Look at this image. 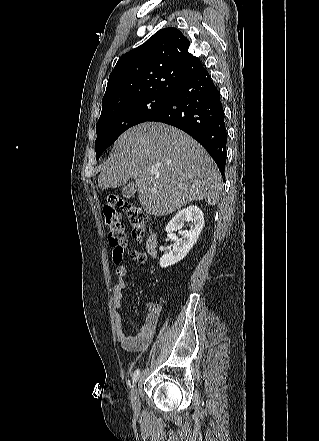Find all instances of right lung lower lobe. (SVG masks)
I'll list each match as a JSON object with an SVG mask.
<instances>
[{"label": "right lung lower lobe", "mask_w": 319, "mask_h": 441, "mask_svg": "<svg viewBox=\"0 0 319 441\" xmlns=\"http://www.w3.org/2000/svg\"><path fill=\"white\" fill-rule=\"evenodd\" d=\"M148 121L163 122L191 135L224 175L227 144L224 110L220 93L205 68L182 83L168 104Z\"/></svg>", "instance_id": "obj_1"}]
</instances>
